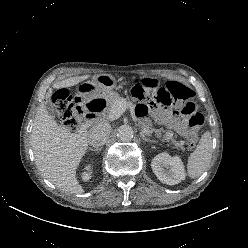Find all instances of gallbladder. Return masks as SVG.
Returning <instances> with one entry per match:
<instances>
[{"instance_id": "obj_1", "label": "gallbladder", "mask_w": 248, "mask_h": 248, "mask_svg": "<svg viewBox=\"0 0 248 248\" xmlns=\"http://www.w3.org/2000/svg\"><path fill=\"white\" fill-rule=\"evenodd\" d=\"M44 107H45V109L47 110V112H48V114L50 116H54L55 115L54 104L50 100H47L44 103Z\"/></svg>"}]
</instances>
